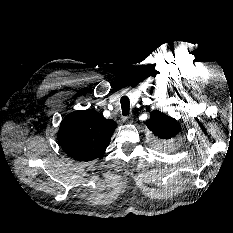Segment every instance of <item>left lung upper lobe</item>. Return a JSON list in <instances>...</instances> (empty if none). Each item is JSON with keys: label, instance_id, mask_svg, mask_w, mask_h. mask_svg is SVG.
<instances>
[{"label": "left lung upper lobe", "instance_id": "left-lung-upper-lobe-1", "mask_svg": "<svg viewBox=\"0 0 233 233\" xmlns=\"http://www.w3.org/2000/svg\"><path fill=\"white\" fill-rule=\"evenodd\" d=\"M147 127L153 134L161 140H169L181 129L180 123L166 114L154 110L150 114V119L146 121Z\"/></svg>", "mask_w": 233, "mask_h": 233}]
</instances>
